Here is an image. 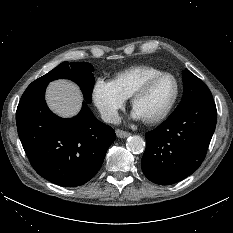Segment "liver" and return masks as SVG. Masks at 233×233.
Listing matches in <instances>:
<instances>
[{
    "label": "liver",
    "instance_id": "liver-1",
    "mask_svg": "<svg viewBox=\"0 0 233 233\" xmlns=\"http://www.w3.org/2000/svg\"><path fill=\"white\" fill-rule=\"evenodd\" d=\"M49 108L58 116L70 118L80 111L82 95L78 86L68 80L60 79L49 84L46 92Z\"/></svg>",
    "mask_w": 233,
    "mask_h": 233
}]
</instances>
